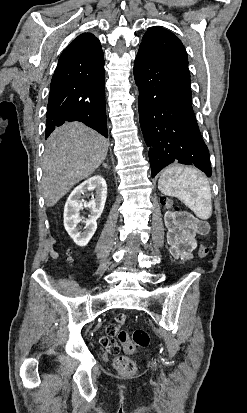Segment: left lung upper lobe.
<instances>
[{
	"instance_id": "obj_1",
	"label": "left lung upper lobe",
	"mask_w": 247,
	"mask_h": 413,
	"mask_svg": "<svg viewBox=\"0 0 247 413\" xmlns=\"http://www.w3.org/2000/svg\"><path fill=\"white\" fill-rule=\"evenodd\" d=\"M139 50L146 51L190 75L186 50L170 31L154 26L143 36Z\"/></svg>"
}]
</instances>
